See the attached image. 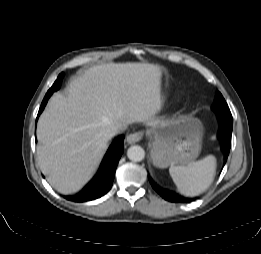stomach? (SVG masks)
Returning a JSON list of instances; mask_svg holds the SVG:
<instances>
[{"mask_svg": "<svg viewBox=\"0 0 261 254\" xmlns=\"http://www.w3.org/2000/svg\"><path fill=\"white\" fill-rule=\"evenodd\" d=\"M146 133L151 139V160L159 168L187 164L200 153L203 127L192 116L158 122Z\"/></svg>", "mask_w": 261, "mask_h": 254, "instance_id": "1", "label": "stomach"}]
</instances>
